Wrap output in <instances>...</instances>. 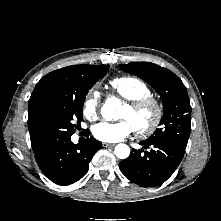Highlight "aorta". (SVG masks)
I'll use <instances>...</instances> for the list:
<instances>
[{"instance_id":"aorta-1","label":"aorta","mask_w":221,"mask_h":221,"mask_svg":"<svg viewBox=\"0 0 221 221\" xmlns=\"http://www.w3.org/2000/svg\"><path fill=\"white\" fill-rule=\"evenodd\" d=\"M121 108V102L118 98H108L101 108V114L105 120L111 121L117 118V111ZM114 153L119 159H126L130 154V148L126 144H118Z\"/></svg>"}]
</instances>
